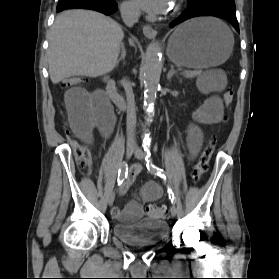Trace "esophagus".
Wrapping results in <instances>:
<instances>
[{"instance_id":"obj_1","label":"esophagus","mask_w":279,"mask_h":279,"mask_svg":"<svg viewBox=\"0 0 279 279\" xmlns=\"http://www.w3.org/2000/svg\"><path fill=\"white\" fill-rule=\"evenodd\" d=\"M143 34L149 39H154L157 35V31L150 25H145L143 27Z\"/></svg>"}]
</instances>
